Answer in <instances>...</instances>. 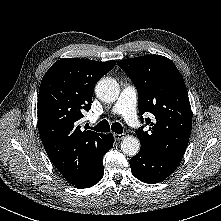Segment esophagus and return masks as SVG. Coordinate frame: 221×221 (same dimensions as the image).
<instances>
[{
    "mask_svg": "<svg viewBox=\"0 0 221 221\" xmlns=\"http://www.w3.org/2000/svg\"><path fill=\"white\" fill-rule=\"evenodd\" d=\"M113 136H114L115 141H120L125 137V134L124 133H122V134L114 133Z\"/></svg>",
    "mask_w": 221,
    "mask_h": 221,
    "instance_id": "esophagus-1",
    "label": "esophagus"
}]
</instances>
